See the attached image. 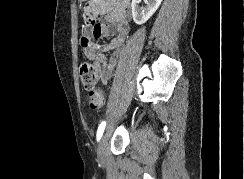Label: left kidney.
<instances>
[{"instance_id": "left-kidney-1", "label": "left kidney", "mask_w": 244, "mask_h": 179, "mask_svg": "<svg viewBox=\"0 0 244 179\" xmlns=\"http://www.w3.org/2000/svg\"><path fill=\"white\" fill-rule=\"evenodd\" d=\"M140 2L141 0H132L131 4L133 20L138 26L145 24L153 16L163 0H144L147 4L146 8H140Z\"/></svg>"}]
</instances>
